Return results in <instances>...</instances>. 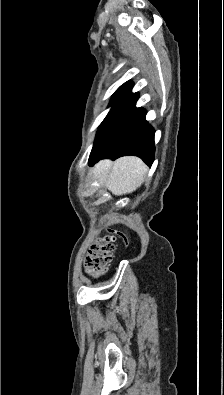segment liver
I'll list each match as a JSON object with an SVG mask.
<instances>
[{
	"mask_svg": "<svg viewBox=\"0 0 224 395\" xmlns=\"http://www.w3.org/2000/svg\"><path fill=\"white\" fill-rule=\"evenodd\" d=\"M148 167L134 156L119 158L115 162L102 160L92 170L93 176L114 195L134 192L145 180Z\"/></svg>",
	"mask_w": 224,
	"mask_h": 395,
	"instance_id": "liver-1",
	"label": "liver"
}]
</instances>
